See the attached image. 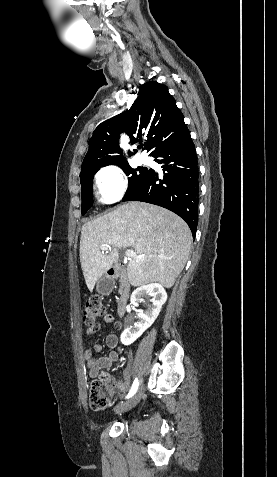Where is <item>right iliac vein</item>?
<instances>
[{
  "mask_svg": "<svg viewBox=\"0 0 277 477\" xmlns=\"http://www.w3.org/2000/svg\"><path fill=\"white\" fill-rule=\"evenodd\" d=\"M143 393H144V387H143V385H141L138 388V390L136 391V393L129 400H127L124 403H121V404L117 405L116 408H115V411L117 413H123L125 411H128V410L132 409L133 407H135L139 403Z\"/></svg>",
  "mask_w": 277,
  "mask_h": 477,
  "instance_id": "63e3f726",
  "label": "right iliac vein"
}]
</instances>
